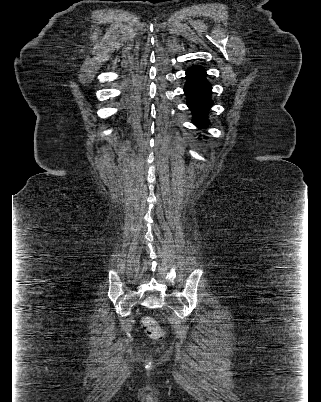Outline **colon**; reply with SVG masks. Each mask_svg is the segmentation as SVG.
I'll use <instances>...</instances> for the list:
<instances>
[{"label": "colon", "mask_w": 321, "mask_h": 402, "mask_svg": "<svg viewBox=\"0 0 321 402\" xmlns=\"http://www.w3.org/2000/svg\"><path fill=\"white\" fill-rule=\"evenodd\" d=\"M142 327L144 331L153 339H162L164 337V331L158 322L150 316H145L142 318Z\"/></svg>", "instance_id": "obj_1"}]
</instances>
